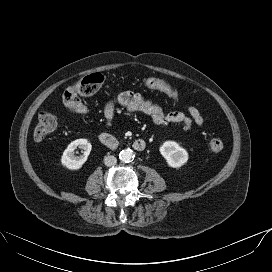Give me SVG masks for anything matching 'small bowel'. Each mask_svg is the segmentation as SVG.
Listing matches in <instances>:
<instances>
[{
	"mask_svg": "<svg viewBox=\"0 0 272 272\" xmlns=\"http://www.w3.org/2000/svg\"><path fill=\"white\" fill-rule=\"evenodd\" d=\"M118 107H122L127 114L143 113L148 115L153 123L159 127H165L169 123H181L186 131L193 125L202 127L204 119L199 110L194 106H184V111L166 113L157 103L143 97L138 93L122 92L108 102L104 108L106 129L110 128Z\"/></svg>",
	"mask_w": 272,
	"mask_h": 272,
	"instance_id": "small-bowel-1",
	"label": "small bowel"
}]
</instances>
